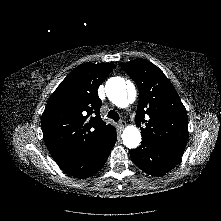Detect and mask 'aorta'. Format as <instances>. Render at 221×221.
I'll return each instance as SVG.
<instances>
[{
	"label": "aorta",
	"instance_id": "obj_1",
	"mask_svg": "<svg viewBox=\"0 0 221 221\" xmlns=\"http://www.w3.org/2000/svg\"><path fill=\"white\" fill-rule=\"evenodd\" d=\"M108 99L117 107L126 108L129 105L128 93L135 95V87L131 82H126L124 78L112 77L105 85ZM122 140L126 147L137 148L141 142V134L134 125L127 126L122 134Z\"/></svg>",
	"mask_w": 221,
	"mask_h": 221
}]
</instances>
